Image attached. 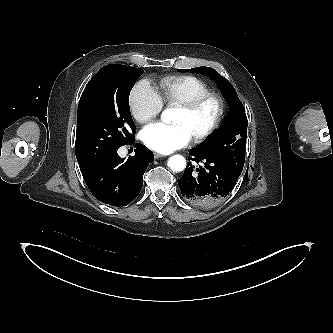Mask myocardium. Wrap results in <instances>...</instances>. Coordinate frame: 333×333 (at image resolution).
Segmentation results:
<instances>
[{"mask_svg":"<svg viewBox=\"0 0 333 333\" xmlns=\"http://www.w3.org/2000/svg\"><path fill=\"white\" fill-rule=\"evenodd\" d=\"M210 101H214L218 106L217 116L205 131L192 137L195 143L206 141L221 127L226 115V102L220 94L209 92L178 106L182 111L193 114Z\"/></svg>","mask_w":333,"mask_h":333,"instance_id":"myocardium-1","label":"myocardium"}]
</instances>
